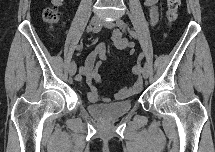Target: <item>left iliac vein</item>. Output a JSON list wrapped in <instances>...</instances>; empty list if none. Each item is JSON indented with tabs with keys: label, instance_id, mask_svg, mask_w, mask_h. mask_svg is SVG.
I'll list each match as a JSON object with an SVG mask.
<instances>
[{
	"label": "left iliac vein",
	"instance_id": "obj_1",
	"mask_svg": "<svg viewBox=\"0 0 215 152\" xmlns=\"http://www.w3.org/2000/svg\"><path fill=\"white\" fill-rule=\"evenodd\" d=\"M102 25L106 28H112L114 27L115 23L113 21H102ZM150 69L147 65L143 67L142 75L145 79L149 77Z\"/></svg>",
	"mask_w": 215,
	"mask_h": 152
}]
</instances>
